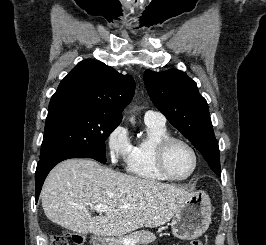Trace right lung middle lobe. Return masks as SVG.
Segmentation results:
<instances>
[{"instance_id":"1","label":"right lung middle lobe","mask_w":266,"mask_h":245,"mask_svg":"<svg viewBox=\"0 0 266 245\" xmlns=\"http://www.w3.org/2000/svg\"><path fill=\"white\" fill-rule=\"evenodd\" d=\"M121 120V117L87 109L47 116L40 159L55 153L71 152L105 163V140Z\"/></svg>"}]
</instances>
